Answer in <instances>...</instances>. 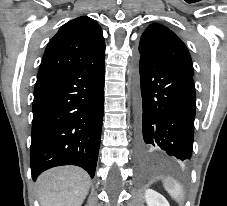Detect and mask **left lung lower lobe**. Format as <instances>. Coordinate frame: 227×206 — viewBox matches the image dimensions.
Segmentation results:
<instances>
[{"label":"left lung lower lobe","mask_w":227,"mask_h":206,"mask_svg":"<svg viewBox=\"0 0 227 206\" xmlns=\"http://www.w3.org/2000/svg\"><path fill=\"white\" fill-rule=\"evenodd\" d=\"M136 68L140 84L139 154L155 150L179 161L190 159L196 111L193 74L140 57Z\"/></svg>","instance_id":"left-lung-lower-lobe-1"}]
</instances>
